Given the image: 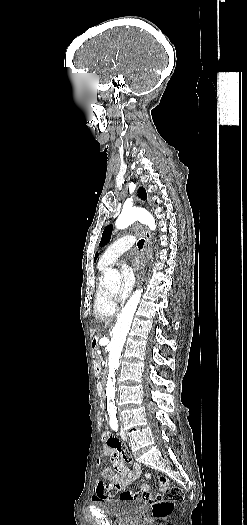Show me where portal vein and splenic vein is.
Returning <instances> with one entry per match:
<instances>
[{"instance_id":"18ae733b","label":"portal vein and splenic vein","mask_w":247,"mask_h":525,"mask_svg":"<svg viewBox=\"0 0 247 525\" xmlns=\"http://www.w3.org/2000/svg\"><path fill=\"white\" fill-rule=\"evenodd\" d=\"M102 366H105V361H101Z\"/></svg>"}]
</instances>
